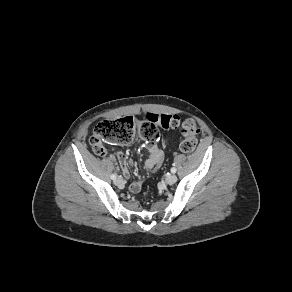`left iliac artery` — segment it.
I'll return each instance as SVG.
<instances>
[{
	"instance_id": "44dca946",
	"label": "left iliac artery",
	"mask_w": 292,
	"mask_h": 292,
	"mask_svg": "<svg viewBox=\"0 0 292 292\" xmlns=\"http://www.w3.org/2000/svg\"><path fill=\"white\" fill-rule=\"evenodd\" d=\"M171 172H172V173H176V168H174V167L171 168Z\"/></svg>"
}]
</instances>
